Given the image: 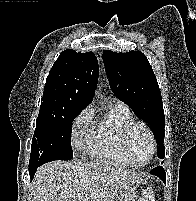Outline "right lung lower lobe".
Listing matches in <instances>:
<instances>
[{
	"instance_id": "obj_1",
	"label": "right lung lower lobe",
	"mask_w": 196,
	"mask_h": 201,
	"mask_svg": "<svg viewBox=\"0 0 196 201\" xmlns=\"http://www.w3.org/2000/svg\"><path fill=\"white\" fill-rule=\"evenodd\" d=\"M37 168H38V167H35V168H29V174H30V178H31V180H32L33 177H34V174H35Z\"/></svg>"
}]
</instances>
